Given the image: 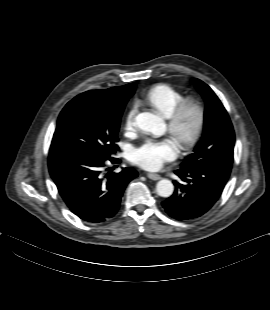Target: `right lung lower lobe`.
Segmentation results:
<instances>
[{"label": "right lung lower lobe", "mask_w": 270, "mask_h": 310, "mask_svg": "<svg viewBox=\"0 0 270 310\" xmlns=\"http://www.w3.org/2000/svg\"><path fill=\"white\" fill-rule=\"evenodd\" d=\"M105 162L76 154H50L48 158L50 175L62 199L76 216L87 222L100 223L112 218L126 186L138 175L130 167L120 173L105 169L108 172L104 173Z\"/></svg>", "instance_id": "right-lung-lower-lobe-1"}]
</instances>
